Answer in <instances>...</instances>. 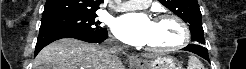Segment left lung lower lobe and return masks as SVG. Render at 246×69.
Masks as SVG:
<instances>
[{"label": "left lung lower lobe", "mask_w": 246, "mask_h": 69, "mask_svg": "<svg viewBox=\"0 0 246 69\" xmlns=\"http://www.w3.org/2000/svg\"><path fill=\"white\" fill-rule=\"evenodd\" d=\"M183 50L193 52V53L201 56L202 58H204L208 62H210L209 56H208V51L202 45L195 44V43L194 44H189L188 46H186L185 48H183Z\"/></svg>", "instance_id": "obj_1"}]
</instances>
